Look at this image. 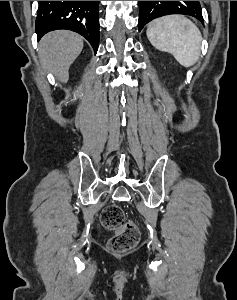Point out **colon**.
I'll return each instance as SVG.
<instances>
[{"label":"colon","mask_w":237,"mask_h":300,"mask_svg":"<svg viewBox=\"0 0 237 300\" xmlns=\"http://www.w3.org/2000/svg\"><path fill=\"white\" fill-rule=\"evenodd\" d=\"M101 224L113 231V236L108 241V248L113 253H125L132 250L140 240V231L137 225L125 219L122 208L112 204L105 207L100 215Z\"/></svg>","instance_id":"5ec220e1"}]
</instances>
